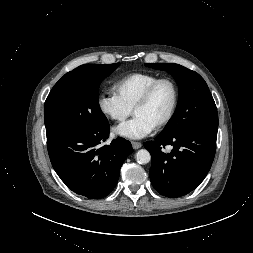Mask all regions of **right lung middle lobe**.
<instances>
[{"mask_svg":"<svg viewBox=\"0 0 253 253\" xmlns=\"http://www.w3.org/2000/svg\"><path fill=\"white\" fill-rule=\"evenodd\" d=\"M119 65L84 64L66 73L45 101L46 135L68 129H92L107 123L99 106L98 89Z\"/></svg>","mask_w":253,"mask_h":253,"instance_id":"obj_1","label":"right lung middle lobe"}]
</instances>
